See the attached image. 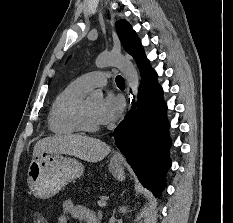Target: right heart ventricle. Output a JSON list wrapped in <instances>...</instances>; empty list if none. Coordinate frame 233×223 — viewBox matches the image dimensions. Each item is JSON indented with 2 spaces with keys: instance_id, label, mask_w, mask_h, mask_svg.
<instances>
[{
  "instance_id": "1",
  "label": "right heart ventricle",
  "mask_w": 233,
  "mask_h": 223,
  "mask_svg": "<svg viewBox=\"0 0 233 223\" xmlns=\"http://www.w3.org/2000/svg\"><path fill=\"white\" fill-rule=\"evenodd\" d=\"M88 91L78 79L60 91L48 115V126L53 134L72 136L82 132L78 126L77 114Z\"/></svg>"
}]
</instances>
